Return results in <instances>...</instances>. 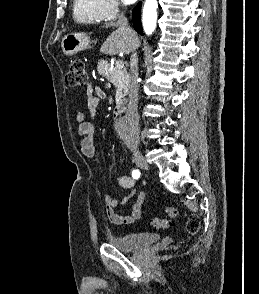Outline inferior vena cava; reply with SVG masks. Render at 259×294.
I'll use <instances>...</instances> for the list:
<instances>
[{"label": "inferior vena cava", "mask_w": 259, "mask_h": 294, "mask_svg": "<svg viewBox=\"0 0 259 294\" xmlns=\"http://www.w3.org/2000/svg\"><path fill=\"white\" fill-rule=\"evenodd\" d=\"M117 25L120 29L126 31L127 33H133L134 31L129 27L128 20L124 16L123 12L118 13V21ZM131 61H130V67L131 72L129 76V101L127 105V117L129 121L132 123V136L131 141L134 144H138L139 137L137 133V124H138V92H139V85H138V58L137 54L135 52V49L133 48L131 50Z\"/></svg>", "instance_id": "obj_1"}]
</instances>
